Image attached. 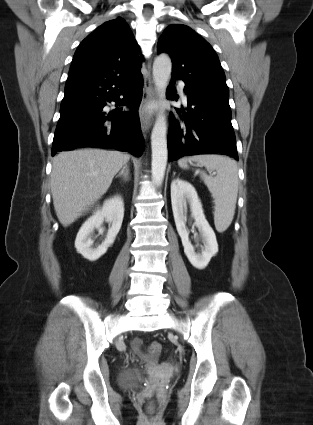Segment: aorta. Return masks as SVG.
Masks as SVG:
<instances>
[{"label":"aorta","instance_id":"1","mask_svg":"<svg viewBox=\"0 0 313 425\" xmlns=\"http://www.w3.org/2000/svg\"><path fill=\"white\" fill-rule=\"evenodd\" d=\"M172 70L171 59L166 54L158 55L153 63V80L159 99H164ZM167 123L164 111L161 110L155 121L151 134L152 179L157 186L163 182L167 159Z\"/></svg>","mask_w":313,"mask_h":425}]
</instances>
